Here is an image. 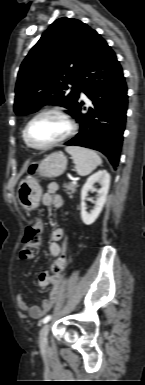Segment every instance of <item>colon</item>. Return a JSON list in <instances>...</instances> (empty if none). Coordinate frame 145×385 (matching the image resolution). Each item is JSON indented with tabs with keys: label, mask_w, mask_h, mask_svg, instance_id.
<instances>
[{
	"label": "colon",
	"mask_w": 145,
	"mask_h": 385,
	"mask_svg": "<svg viewBox=\"0 0 145 385\" xmlns=\"http://www.w3.org/2000/svg\"><path fill=\"white\" fill-rule=\"evenodd\" d=\"M37 170V165L33 164L30 166L29 171L31 174H34ZM42 221L41 219H37L36 222L30 226H28L25 230L23 236V245L20 251V259L23 261H31L35 258L38 252L39 243H40V235L42 229ZM65 263L63 258L59 259L53 264V272L54 273H62L64 270Z\"/></svg>",
	"instance_id": "obj_1"
}]
</instances>
